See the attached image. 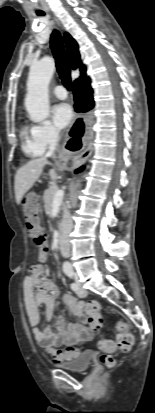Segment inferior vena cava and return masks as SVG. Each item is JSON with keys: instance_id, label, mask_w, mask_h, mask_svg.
<instances>
[{"instance_id": "obj_1", "label": "inferior vena cava", "mask_w": 155, "mask_h": 413, "mask_svg": "<svg viewBox=\"0 0 155 413\" xmlns=\"http://www.w3.org/2000/svg\"><path fill=\"white\" fill-rule=\"evenodd\" d=\"M59 135L57 132L53 131L49 137V150L47 155L51 156L58 144ZM72 218L69 210H66L62 222H61V236H60V245H61V254L63 257L67 258L70 254V244H69V234L72 230Z\"/></svg>"}]
</instances>
